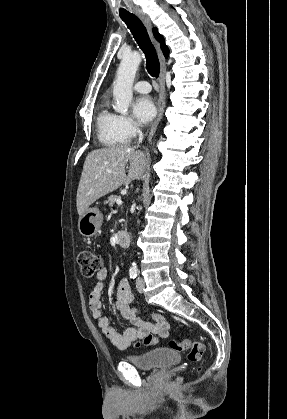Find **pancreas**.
<instances>
[{
	"label": "pancreas",
	"instance_id": "cf45deb5",
	"mask_svg": "<svg viewBox=\"0 0 287 419\" xmlns=\"http://www.w3.org/2000/svg\"><path fill=\"white\" fill-rule=\"evenodd\" d=\"M120 196L111 195L108 197V199L104 202L105 204H108L110 207L114 205L117 199H119Z\"/></svg>",
	"mask_w": 287,
	"mask_h": 419
}]
</instances>
